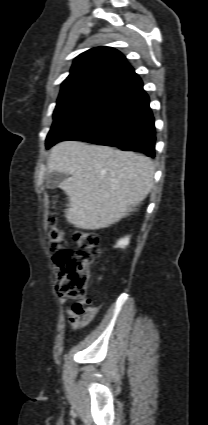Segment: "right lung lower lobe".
Listing matches in <instances>:
<instances>
[{
	"label": "right lung lower lobe",
	"mask_w": 208,
	"mask_h": 425,
	"mask_svg": "<svg viewBox=\"0 0 208 425\" xmlns=\"http://www.w3.org/2000/svg\"><path fill=\"white\" fill-rule=\"evenodd\" d=\"M49 135L155 156L154 117L140 77L131 67L86 105L64 115ZM50 146V147H51Z\"/></svg>",
	"instance_id": "obj_1"
}]
</instances>
